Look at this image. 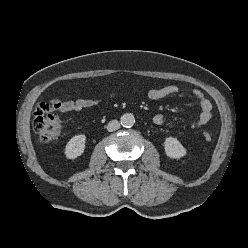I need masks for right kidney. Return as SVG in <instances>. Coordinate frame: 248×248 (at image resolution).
<instances>
[{"label": "right kidney", "instance_id": "1", "mask_svg": "<svg viewBox=\"0 0 248 248\" xmlns=\"http://www.w3.org/2000/svg\"><path fill=\"white\" fill-rule=\"evenodd\" d=\"M86 136L83 134L72 137L66 145L65 155L69 159H75L83 154Z\"/></svg>", "mask_w": 248, "mask_h": 248}]
</instances>
